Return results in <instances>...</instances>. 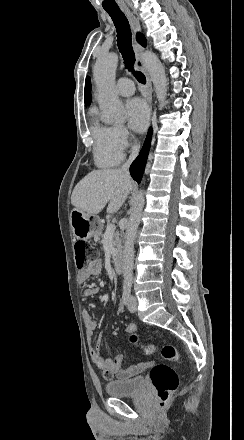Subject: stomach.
<instances>
[{
	"label": "stomach",
	"instance_id": "stomach-1",
	"mask_svg": "<svg viewBox=\"0 0 244 440\" xmlns=\"http://www.w3.org/2000/svg\"><path fill=\"white\" fill-rule=\"evenodd\" d=\"M70 226L77 240H89L92 236H98L102 232L99 218L81 212L78 208H74L70 214Z\"/></svg>",
	"mask_w": 244,
	"mask_h": 440
}]
</instances>
